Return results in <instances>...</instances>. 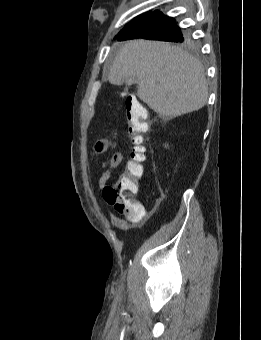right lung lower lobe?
I'll return each instance as SVG.
<instances>
[{"label":"right lung lower lobe","instance_id":"obj_1","mask_svg":"<svg viewBox=\"0 0 261 340\" xmlns=\"http://www.w3.org/2000/svg\"><path fill=\"white\" fill-rule=\"evenodd\" d=\"M180 32L181 29L171 17L165 16L160 11H154L148 13L117 39L121 41L144 38L150 40L169 41Z\"/></svg>","mask_w":261,"mask_h":340}]
</instances>
